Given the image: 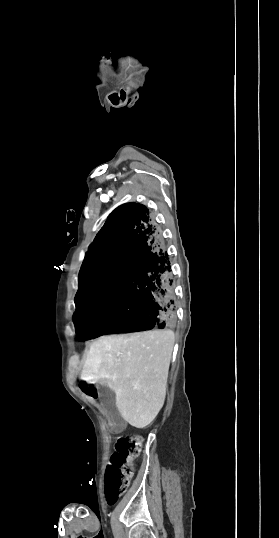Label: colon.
Listing matches in <instances>:
<instances>
[{
  "label": "colon",
  "instance_id": "obj_1",
  "mask_svg": "<svg viewBox=\"0 0 279 538\" xmlns=\"http://www.w3.org/2000/svg\"><path fill=\"white\" fill-rule=\"evenodd\" d=\"M139 436L120 438L105 473V497L109 505L117 502L126 491L134 472V461L140 454Z\"/></svg>",
  "mask_w": 279,
  "mask_h": 538
}]
</instances>
